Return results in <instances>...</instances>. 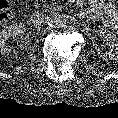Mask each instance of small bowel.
Listing matches in <instances>:
<instances>
[{
    "label": "small bowel",
    "mask_w": 118,
    "mask_h": 118,
    "mask_svg": "<svg viewBox=\"0 0 118 118\" xmlns=\"http://www.w3.org/2000/svg\"><path fill=\"white\" fill-rule=\"evenodd\" d=\"M111 6V5H109ZM107 18L112 24V29L118 33V17H117V12L115 8L113 7H108V9L105 11Z\"/></svg>",
    "instance_id": "obj_1"
}]
</instances>
